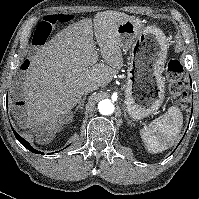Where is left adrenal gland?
<instances>
[{"label": "left adrenal gland", "instance_id": "obj_1", "mask_svg": "<svg viewBox=\"0 0 199 199\" xmlns=\"http://www.w3.org/2000/svg\"><path fill=\"white\" fill-rule=\"evenodd\" d=\"M124 117H125V119L127 120V124H128V125H134L133 122H132V120H130V119L128 118L126 112H124Z\"/></svg>", "mask_w": 199, "mask_h": 199}]
</instances>
